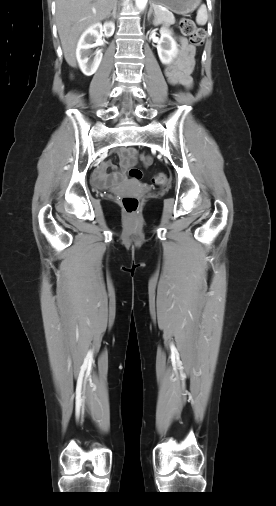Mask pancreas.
<instances>
[{
  "mask_svg": "<svg viewBox=\"0 0 276 506\" xmlns=\"http://www.w3.org/2000/svg\"><path fill=\"white\" fill-rule=\"evenodd\" d=\"M155 15L160 23H163L165 25H171L175 23V17L169 11L162 10L161 8L157 7L155 9Z\"/></svg>",
  "mask_w": 276,
  "mask_h": 506,
  "instance_id": "1",
  "label": "pancreas"
}]
</instances>
